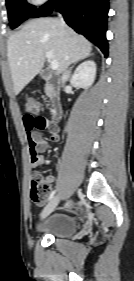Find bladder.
I'll use <instances>...</instances> for the list:
<instances>
[{
    "instance_id": "31cf9c89",
    "label": "bladder",
    "mask_w": 134,
    "mask_h": 281,
    "mask_svg": "<svg viewBox=\"0 0 134 281\" xmlns=\"http://www.w3.org/2000/svg\"><path fill=\"white\" fill-rule=\"evenodd\" d=\"M77 230L78 222L76 218L64 212L42 218V221L37 226L39 233L51 235L55 238L72 237L76 234Z\"/></svg>"
}]
</instances>
